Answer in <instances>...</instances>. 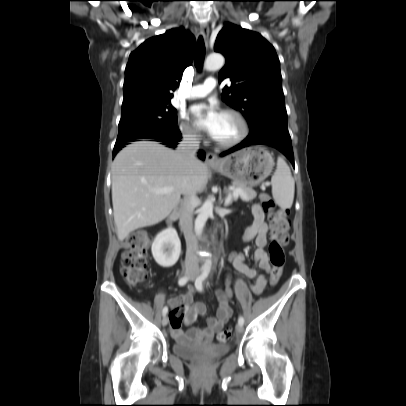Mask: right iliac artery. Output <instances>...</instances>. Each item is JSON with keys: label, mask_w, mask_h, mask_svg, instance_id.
<instances>
[{"label": "right iliac artery", "mask_w": 406, "mask_h": 406, "mask_svg": "<svg viewBox=\"0 0 406 406\" xmlns=\"http://www.w3.org/2000/svg\"><path fill=\"white\" fill-rule=\"evenodd\" d=\"M188 280H189V277H181L180 279H179V281H178V284H179V286H184L187 282H188ZM167 312H168V307L167 306H165L164 308H163V310H162V314H163V316H165L166 314H167Z\"/></svg>", "instance_id": "1"}]
</instances>
